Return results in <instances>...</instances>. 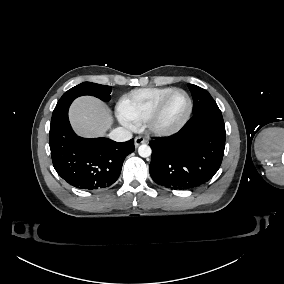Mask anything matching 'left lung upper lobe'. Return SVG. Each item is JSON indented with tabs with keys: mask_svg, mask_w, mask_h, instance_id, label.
Returning a JSON list of instances; mask_svg holds the SVG:
<instances>
[{
	"mask_svg": "<svg viewBox=\"0 0 284 284\" xmlns=\"http://www.w3.org/2000/svg\"><path fill=\"white\" fill-rule=\"evenodd\" d=\"M188 87L191 91L194 101L193 114H197L206 109L218 108L216 102L208 91L193 84H188Z\"/></svg>",
	"mask_w": 284,
	"mask_h": 284,
	"instance_id": "left-lung-upper-lobe-1",
	"label": "left lung upper lobe"
}]
</instances>
